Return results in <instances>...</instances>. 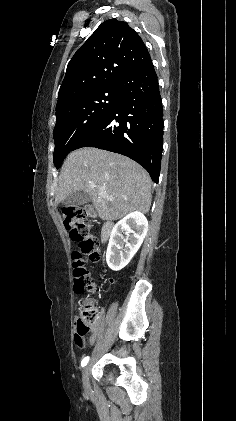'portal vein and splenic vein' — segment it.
Returning <instances> with one entry per match:
<instances>
[{
  "mask_svg": "<svg viewBox=\"0 0 236 421\" xmlns=\"http://www.w3.org/2000/svg\"><path fill=\"white\" fill-rule=\"evenodd\" d=\"M96 184H90V188H95ZM105 198H108V200H113L115 198V194H109V196H105ZM124 198H127V196H124Z\"/></svg>",
  "mask_w": 236,
  "mask_h": 421,
  "instance_id": "portal-vein-and-splenic-vein-1",
  "label": "portal vein and splenic vein"
}]
</instances>
